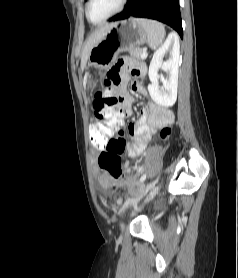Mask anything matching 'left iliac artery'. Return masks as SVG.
<instances>
[{"mask_svg":"<svg viewBox=\"0 0 238 278\" xmlns=\"http://www.w3.org/2000/svg\"><path fill=\"white\" fill-rule=\"evenodd\" d=\"M146 177H147V174L146 173L143 174L140 178V182H143L146 179Z\"/></svg>","mask_w":238,"mask_h":278,"instance_id":"44dca946","label":"left iliac artery"}]
</instances>
